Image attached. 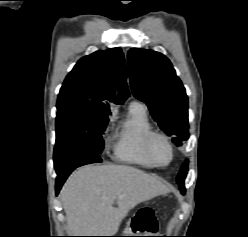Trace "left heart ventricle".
I'll use <instances>...</instances> for the list:
<instances>
[{
  "instance_id": "left-heart-ventricle-1",
  "label": "left heart ventricle",
  "mask_w": 248,
  "mask_h": 237,
  "mask_svg": "<svg viewBox=\"0 0 248 237\" xmlns=\"http://www.w3.org/2000/svg\"><path fill=\"white\" fill-rule=\"evenodd\" d=\"M152 155L157 162L165 164L170 159V149L162 139L155 138L152 142Z\"/></svg>"
}]
</instances>
